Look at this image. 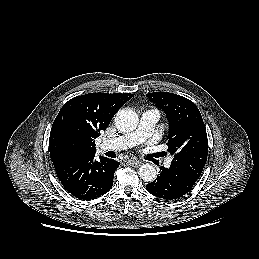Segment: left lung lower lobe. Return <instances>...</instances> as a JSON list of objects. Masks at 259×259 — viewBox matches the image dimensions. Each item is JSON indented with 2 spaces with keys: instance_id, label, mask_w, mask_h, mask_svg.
<instances>
[{
  "instance_id": "1",
  "label": "left lung lower lobe",
  "mask_w": 259,
  "mask_h": 259,
  "mask_svg": "<svg viewBox=\"0 0 259 259\" xmlns=\"http://www.w3.org/2000/svg\"><path fill=\"white\" fill-rule=\"evenodd\" d=\"M196 179L181 169L171 165L169 168H160V175L149 183L146 189L156 197L166 200L178 199L189 192Z\"/></svg>"
}]
</instances>
